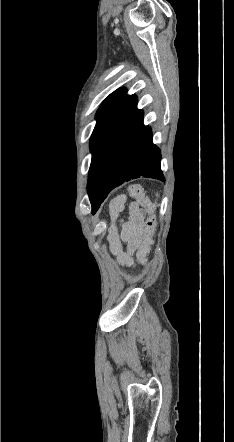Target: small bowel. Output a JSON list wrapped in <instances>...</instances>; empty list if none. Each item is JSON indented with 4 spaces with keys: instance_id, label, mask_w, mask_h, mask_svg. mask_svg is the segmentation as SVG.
Returning <instances> with one entry per match:
<instances>
[{
    "instance_id": "c3829d8e",
    "label": "small bowel",
    "mask_w": 234,
    "mask_h": 442,
    "mask_svg": "<svg viewBox=\"0 0 234 442\" xmlns=\"http://www.w3.org/2000/svg\"><path fill=\"white\" fill-rule=\"evenodd\" d=\"M125 206V198L119 197L114 199L110 204V216L115 222L119 214L123 211ZM144 215L139 205L136 202H131L128 205V215L125 220L120 223V232L113 224L110 228L108 240L111 251L118 257L121 264L125 266H134V260L131 254L137 248L141 232L143 229ZM122 242L127 244L128 251L124 252L122 249Z\"/></svg>"
}]
</instances>
